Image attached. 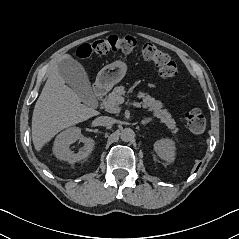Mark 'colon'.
<instances>
[{"instance_id":"colon-1","label":"colon","mask_w":239,"mask_h":239,"mask_svg":"<svg viewBox=\"0 0 239 239\" xmlns=\"http://www.w3.org/2000/svg\"><path fill=\"white\" fill-rule=\"evenodd\" d=\"M137 45L131 36L112 35L107 38L98 39L91 43L80 45L76 54L81 59H89L93 55H103L109 52H132ZM143 59L153 62L159 70L160 75L166 79L176 78L179 68L172 58L153 44L145 43L140 47ZM186 121L193 133H202L206 126L205 117L198 109H191L186 113Z\"/></svg>"}]
</instances>
